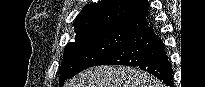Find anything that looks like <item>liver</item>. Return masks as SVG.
Masks as SVG:
<instances>
[{
    "label": "liver",
    "instance_id": "1",
    "mask_svg": "<svg viewBox=\"0 0 205 87\" xmlns=\"http://www.w3.org/2000/svg\"><path fill=\"white\" fill-rule=\"evenodd\" d=\"M65 87H163L161 82L140 69L127 66L88 68L65 84Z\"/></svg>",
    "mask_w": 205,
    "mask_h": 87
}]
</instances>
